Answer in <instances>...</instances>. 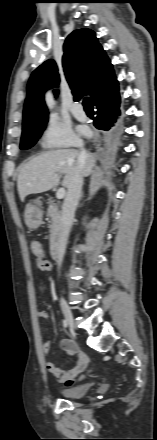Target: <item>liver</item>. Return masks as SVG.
<instances>
[{
    "mask_svg": "<svg viewBox=\"0 0 157 440\" xmlns=\"http://www.w3.org/2000/svg\"><path fill=\"white\" fill-rule=\"evenodd\" d=\"M80 151L75 149H57L41 153L24 163L17 179V188L21 201L30 194L43 193L52 189L65 174L62 186L68 189L78 168ZM95 155L85 152L82 176L91 174L95 166Z\"/></svg>",
    "mask_w": 157,
    "mask_h": 440,
    "instance_id": "liver-1",
    "label": "liver"
}]
</instances>
